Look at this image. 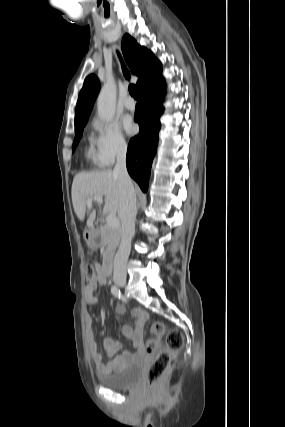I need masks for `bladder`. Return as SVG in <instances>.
<instances>
[{"label":"bladder","instance_id":"bladder-1","mask_svg":"<svg viewBox=\"0 0 285 427\" xmlns=\"http://www.w3.org/2000/svg\"><path fill=\"white\" fill-rule=\"evenodd\" d=\"M142 363L134 362L117 372L102 373L98 380L106 387L114 390L133 388L140 380Z\"/></svg>","mask_w":285,"mask_h":427}]
</instances>
